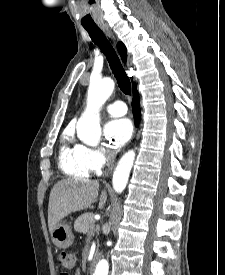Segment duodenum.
I'll return each mask as SVG.
<instances>
[{
  "mask_svg": "<svg viewBox=\"0 0 225 275\" xmlns=\"http://www.w3.org/2000/svg\"><path fill=\"white\" fill-rule=\"evenodd\" d=\"M95 264H96V259L94 258L93 261L91 262L90 266V274L93 275L94 269H95Z\"/></svg>",
  "mask_w": 225,
  "mask_h": 275,
  "instance_id": "1",
  "label": "duodenum"
}]
</instances>
